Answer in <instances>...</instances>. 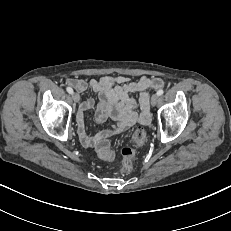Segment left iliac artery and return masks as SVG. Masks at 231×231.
<instances>
[{"label": "left iliac artery", "instance_id": "1", "mask_svg": "<svg viewBox=\"0 0 231 231\" xmlns=\"http://www.w3.org/2000/svg\"><path fill=\"white\" fill-rule=\"evenodd\" d=\"M163 93H164V91L162 89H160V90L157 91V95L158 96H161Z\"/></svg>", "mask_w": 231, "mask_h": 231}]
</instances>
